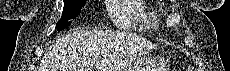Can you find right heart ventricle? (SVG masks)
<instances>
[{
    "mask_svg": "<svg viewBox=\"0 0 230 71\" xmlns=\"http://www.w3.org/2000/svg\"><path fill=\"white\" fill-rule=\"evenodd\" d=\"M113 21L122 29H152L156 26V14L143 0H114L110 7Z\"/></svg>",
    "mask_w": 230,
    "mask_h": 71,
    "instance_id": "1",
    "label": "right heart ventricle"
}]
</instances>
